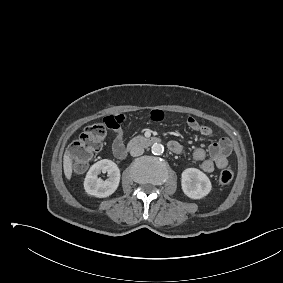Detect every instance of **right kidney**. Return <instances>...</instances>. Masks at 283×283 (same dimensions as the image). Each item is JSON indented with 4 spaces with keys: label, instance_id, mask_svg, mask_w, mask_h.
<instances>
[{
    "label": "right kidney",
    "instance_id": "obj_1",
    "mask_svg": "<svg viewBox=\"0 0 283 283\" xmlns=\"http://www.w3.org/2000/svg\"><path fill=\"white\" fill-rule=\"evenodd\" d=\"M108 173L107 179L102 180L98 175ZM120 170L108 159H103L91 166L84 180V189L89 195L105 198L113 194L119 186Z\"/></svg>",
    "mask_w": 283,
    "mask_h": 283
}]
</instances>
